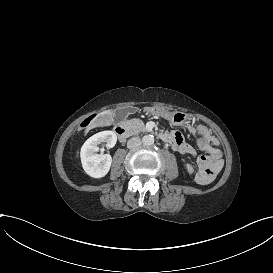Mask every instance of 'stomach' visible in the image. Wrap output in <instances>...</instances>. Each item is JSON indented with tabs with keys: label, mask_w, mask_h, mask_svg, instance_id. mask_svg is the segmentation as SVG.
I'll list each match as a JSON object with an SVG mask.
<instances>
[{
	"label": "stomach",
	"mask_w": 273,
	"mask_h": 273,
	"mask_svg": "<svg viewBox=\"0 0 273 273\" xmlns=\"http://www.w3.org/2000/svg\"><path fill=\"white\" fill-rule=\"evenodd\" d=\"M153 115L161 116L174 126H185L190 122V116L180 111L169 112L162 107H149L146 109Z\"/></svg>",
	"instance_id": "stomach-1"
}]
</instances>
